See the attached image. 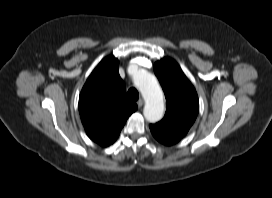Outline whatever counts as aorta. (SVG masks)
I'll return each instance as SVG.
<instances>
[{
	"instance_id": "762f6f07",
	"label": "aorta",
	"mask_w": 272,
	"mask_h": 198,
	"mask_svg": "<svg viewBox=\"0 0 272 198\" xmlns=\"http://www.w3.org/2000/svg\"><path fill=\"white\" fill-rule=\"evenodd\" d=\"M134 83L145 99L143 114L148 122L155 123L164 115L163 91L151 73L140 70L134 75Z\"/></svg>"
}]
</instances>
